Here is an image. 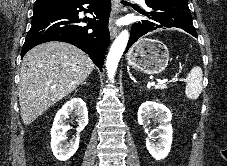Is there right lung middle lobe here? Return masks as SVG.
<instances>
[{
	"label": "right lung middle lobe",
	"mask_w": 227,
	"mask_h": 166,
	"mask_svg": "<svg viewBox=\"0 0 227 166\" xmlns=\"http://www.w3.org/2000/svg\"><path fill=\"white\" fill-rule=\"evenodd\" d=\"M68 6H63V5H39V6H34V17H38L44 14H47L49 12L53 11H58V10H64Z\"/></svg>",
	"instance_id": "dd1d6c3e"
}]
</instances>
